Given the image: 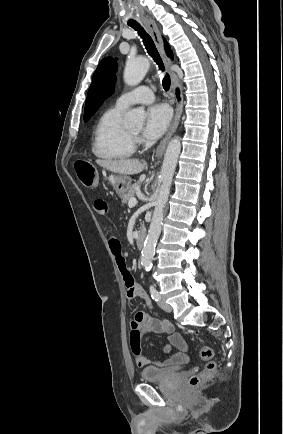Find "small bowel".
I'll return each mask as SVG.
<instances>
[{
  "label": "small bowel",
  "mask_w": 283,
  "mask_h": 434,
  "mask_svg": "<svg viewBox=\"0 0 283 434\" xmlns=\"http://www.w3.org/2000/svg\"><path fill=\"white\" fill-rule=\"evenodd\" d=\"M94 210L99 215H106L108 212V204L104 199H96L94 201ZM110 250L115 257L117 267L122 275L127 289V297L130 300L141 298L146 302V305L151 309L152 305L142 288L134 281L130 274L125 258L122 255L121 243L116 237L109 239ZM130 345L135 361L139 367L155 366V367H174L184 363L187 359L186 350L187 344L180 333H178L174 325L166 319H157L150 314L139 311L135 313L130 323ZM147 333L165 334L167 335L168 343L163 347V353L169 355L172 347L179 350L178 353L168 356L163 361L151 364L141 348L142 337Z\"/></svg>",
  "instance_id": "obj_1"
}]
</instances>
